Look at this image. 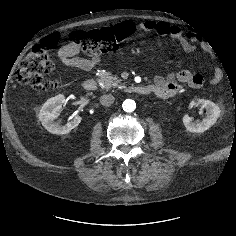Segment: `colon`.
Returning <instances> with one entry per match:
<instances>
[{"label":"colon","mask_w":236,"mask_h":236,"mask_svg":"<svg viewBox=\"0 0 236 236\" xmlns=\"http://www.w3.org/2000/svg\"><path fill=\"white\" fill-rule=\"evenodd\" d=\"M134 30L133 23L122 22L113 27L74 31L68 35V40L87 54L99 55L117 49ZM60 39L57 33L48 35L21 61L17 72L20 84L32 90H45L54 85L49 79L54 70L50 50L58 45Z\"/></svg>","instance_id":"1"}]
</instances>
